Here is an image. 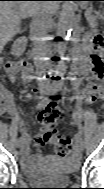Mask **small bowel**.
<instances>
[{
	"instance_id": "c3829d8e",
	"label": "small bowel",
	"mask_w": 104,
	"mask_h": 189,
	"mask_svg": "<svg viewBox=\"0 0 104 189\" xmlns=\"http://www.w3.org/2000/svg\"><path fill=\"white\" fill-rule=\"evenodd\" d=\"M93 68L94 65L91 60H83L79 62L74 70L76 75L87 79V84L84 89L79 90L76 88V100L78 102L86 100L87 102L92 103L103 94L102 87L97 83L96 76H91L93 73ZM5 72L10 81H15L16 73H20V78L23 83H28L34 79L32 70L26 63L6 65ZM0 95L4 99L3 110L11 116H17L18 109L15 105L14 97L6 86H0ZM17 127L22 133V137L24 139L21 147L22 161L26 166L32 167L37 160L41 159V156L32 155L30 152V130L28 125L22 121H19L17 122ZM76 160L77 156L70 159V161L73 163H75Z\"/></svg>"
}]
</instances>
